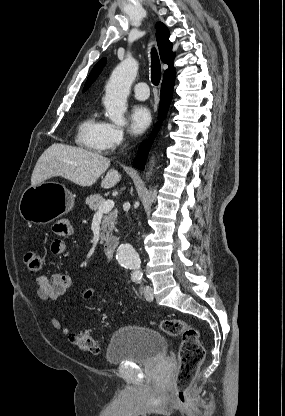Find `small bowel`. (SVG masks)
I'll use <instances>...</instances> for the list:
<instances>
[{
  "label": "small bowel",
  "instance_id": "small-bowel-1",
  "mask_svg": "<svg viewBox=\"0 0 285 416\" xmlns=\"http://www.w3.org/2000/svg\"><path fill=\"white\" fill-rule=\"evenodd\" d=\"M53 229L54 233L59 237L51 242L50 251L54 255H61L66 251V243L60 237L71 235L73 233V227L67 221H59L54 225ZM36 284V295L44 302L50 303L66 293L71 286V278L67 274L54 273L50 277H37ZM50 322L55 330L62 334L69 333V329L64 327L56 317H51Z\"/></svg>",
  "mask_w": 285,
  "mask_h": 416
}]
</instances>
